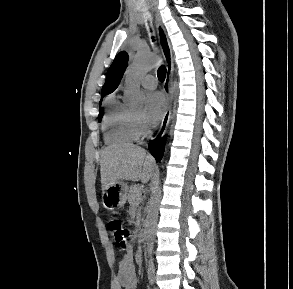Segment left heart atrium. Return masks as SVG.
Wrapping results in <instances>:
<instances>
[{
    "instance_id": "obj_1",
    "label": "left heart atrium",
    "mask_w": 293,
    "mask_h": 289,
    "mask_svg": "<svg viewBox=\"0 0 293 289\" xmlns=\"http://www.w3.org/2000/svg\"><path fill=\"white\" fill-rule=\"evenodd\" d=\"M167 110V100L160 92H151L146 97V119L150 123L160 121Z\"/></svg>"
}]
</instances>
